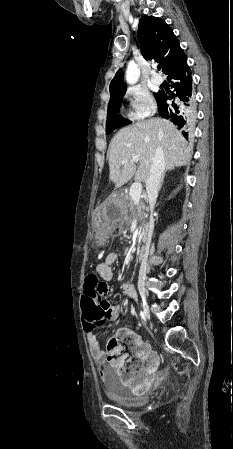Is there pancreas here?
Masks as SVG:
<instances>
[{"label": "pancreas", "instance_id": "cf45deb5", "mask_svg": "<svg viewBox=\"0 0 233 449\" xmlns=\"http://www.w3.org/2000/svg\"><path fill=\"white\" fill-rule=\"evenodd\" d=\"M121 207H122V214L125 219H133L137 218L142 223H145L147 218V207L144 203L143 199H140V201L136 204L130 195H124L121 197Z\"/></svg>", "mask_w": 233, "mask_h": 449}]
</instances>
